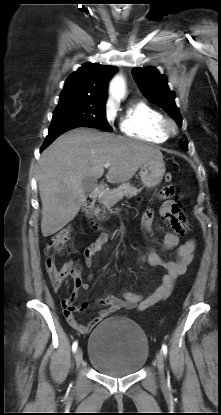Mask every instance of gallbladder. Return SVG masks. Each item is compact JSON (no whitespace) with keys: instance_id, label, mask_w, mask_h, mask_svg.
Masks as SVG:
<instances>
[{"instance_id":"1","label":"gallbladder","mask_w":221,"mask_h":415,"mask_svg":"<svg viewBox=\"0 0 221 415\" xmlns=\"http://www.w3.org/2000/svg\"><path fill=\"white\" fill-rule=\"evenodd\" d=\"M82 189L84 192H91L97 185V180L94 177H85L82 182Z\"/></svg>"}]
</instances>
